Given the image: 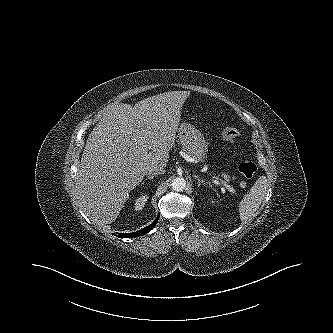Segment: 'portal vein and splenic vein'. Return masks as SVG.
<instances>
[{
	"instance_id": "18ae733b",
	"label": "portal vein and splenic vein",
	"mask_w": 333,
	"mask_h": 333,
	"mask_svg": "<svg viewBox=\"0 0 333 333\" xmlns=\"http://www.w3.org/2000/svg\"><path fill=\"white\" fill-rule=\"evenodd\" d=\"M213 178L218 179L217 177L213 176ZM220 183L226 188L228 189V191L235 193V189L233 187H231L229 184H227L225 181L220 180Z\"/></svg>"
}]
</instances>
